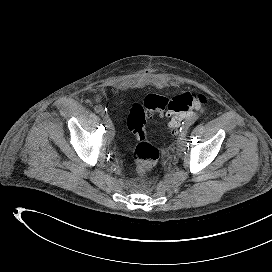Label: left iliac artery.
<instances>
[{"mask_svg":"<svg viewBox=\"0 0 272 272\" xmlns=\"http://www.w3.org/2000/svg\"><path fill=\"white\" fill-rule=\"evenodd\" d=\"M197 120V117H193L189 120H186L185 122L182 123V127L180 128V132L184 133L185 130L189 129V127ZM182 140V138H180Z\"/></svg>","mask_w":272,"mask_h":272,"instance_id":"44dca946","label":"left iliac artery"}]
</instances>
